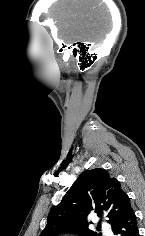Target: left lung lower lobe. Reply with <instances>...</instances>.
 <instances>
[{"mask_svg": "<svg viewBox=\"0 0 145 236\" xmlns=\"http://www.w3.org/2000/svg\"><path fill=\"white\" fill-rule=\"evenodd\" d=\"M112 231L116 236H139L136 216L131 210L121 221H119Z\"/></svg>", "mask_w": 145, "mask_h": 236, "instance_id": "obj_1", "label": "left lung lower lobe"}]
</instances>
